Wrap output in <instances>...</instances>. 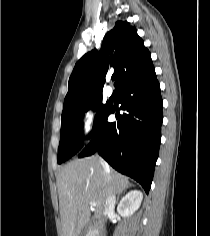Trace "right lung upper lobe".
<instances>
[{"mask_svg": "<svg viewBox=\"0 0 210 236\" xmlns=\"http://www.w3.org/2000/svg\"><path fill=\"white\" fill-rule=\"evenodd\" d=\"M152 63L137 30L127 21H117L106 33L100 51L86 53L75 65L69 78L63 112L77 109L87 101L102 96L104 76L109 66L117 74L115 87Z\"/></svg>", "mask_w": 210, "mask_h": 236, "instance_id": "right-lung-upper-lobe-1", "label": "right lung upper lobe"}]
</instances>
